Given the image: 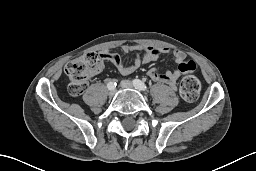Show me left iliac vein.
I'll use <instances>...</instances> for the list:
<instances>
[{"instance_id": "obj_1", "label": "left iliac vein", "mask_w": 256, "mask_h": 171, "mask_svg": "<svg viewBox=\"0 0 256 171\" xmlns=\"http://www.w3.org/2000/svg\"><path fill=\"white\" fill-rule=\"evenodd\" d=\"M120 86H121L122 88H130V89H133V88H134L133 83H132L131 81H129V80H122V81L120 82ZM138 90H139V89H138Z\"/></svg>"}]
</instances>
